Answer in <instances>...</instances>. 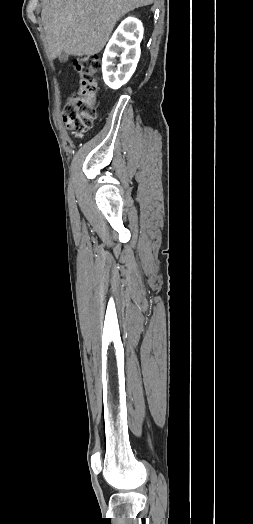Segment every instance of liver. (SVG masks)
<instances>
[{
	"instance_id": "obj_1",
	"label": "liver",
	"mask_w": 253,
	"mask_h": 524,
	"mask_svg": "<svg viewBox=\"0 0 253 524\" xmlns=\"http://www.w3.org/2000/svg\"><path fill=\"white\" fill-rule=\"evenodd\" d=\"M154 0H44L41 19L50 58L99 53L126 13Z\"/></svg>"
}]
</instances>
